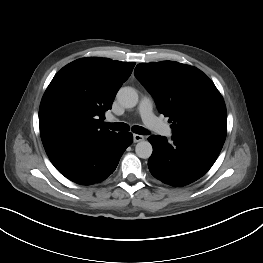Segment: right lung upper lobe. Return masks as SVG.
Masks as SVG:
<instances>
[{
  "label": "right lung upper lobe",
  "mask_w": 263,
  "mask_h": 263,
  "mask_svg": "<svg viewBox=\"0 0 263 263\" xmlns=\"http://www.w3.org/2000/svg\"><path fill=\"white\" fill-rule=\"evenodd\" d=\"M134 66V62L82 58L54 76L39 108L40 135L48 157L115 134L103 126L104 112L111 109Z\"/></svg>",
  "instance_id": "right-lung-upper-lobe-1"
}]
</instances>
